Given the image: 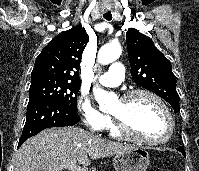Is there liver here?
I'll return each instance as SVG.
<instances>
[{
  "label": "liver",
  "mask_w": 199,
  "mask_h": 171,
  "mask_svg": "<svg viewBox=\"0 0 199 171\" xmlns=\"http://www.w3.org/2000/svg\"><path fill=\"white\" fill-rule=\"evenodd\" d=\"M134 147L109 142L75 127L48 128L28 139L17 151L14 171H61V164L78 161L88 166L95 160Z\"/></svg>",
  "instance_id": "1"
}]
</instances>
